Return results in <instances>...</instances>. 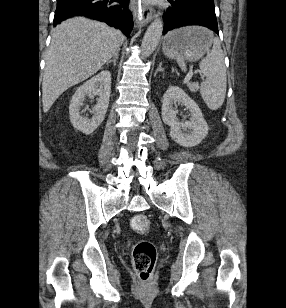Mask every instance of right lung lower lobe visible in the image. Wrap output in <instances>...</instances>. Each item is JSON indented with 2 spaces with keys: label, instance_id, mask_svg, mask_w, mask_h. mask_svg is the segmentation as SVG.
Returning <instances> with one entry per match:
<instances>
[{
  "label": "right lung lower lobe",
  "instance_id": "obj_1",
  "mask_svg": "<svg viewBox=\"0 0 286 308\" xmlns=\"http://www.w3.org/2000/svg\"><path fill=\"white\" fill-rule=\"evenodd\" d=\"M115 1L124 6L129 2V0H57L54 25L73 16H85L119 28L128 37L133 27L132 14L127 7L111 5Z\"/></svg>",
  "mask_w": 286,
  "mask_h": 308
}]
</instances>
